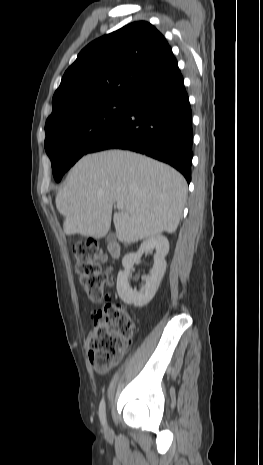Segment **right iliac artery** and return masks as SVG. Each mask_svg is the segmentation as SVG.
Wrapping results in <instances>:
<instances>
[{"label": "right iliac artery", "instance_id": "82829eb1", "mask_svg": "<svg viewBox=\"0 0 263 465\" xmlns=\"http://www.w3.org/2000/svg\"><path fill=\"white\" fill-rule=\"evenodd\" d=\"M99 418H100L101 424L103 426H106V408H105L104 398H102L100 405H99Z\"/></svg>", "mask_w": 263, "mask_h": 465}]
</instances>
